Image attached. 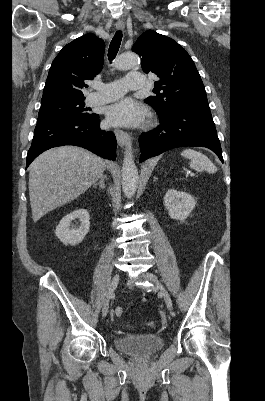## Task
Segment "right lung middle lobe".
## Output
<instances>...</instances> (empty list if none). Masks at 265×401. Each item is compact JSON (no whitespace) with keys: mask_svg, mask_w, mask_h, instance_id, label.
Wrapping results in <instances>:
<instances>
[{"mask_svg":"<svg viewBox=\"0 0 265 401\" xmlns=\"http://www.w3.org/2000/svg\"><path fill=\"white\" fill-rule=\"evenodd\" d=\"M84 99L85 98L65 99L41 104L37 121L51 117H91L92 114L87 113V109L84 108Z\"/></svg>","mask_w":265,"mask_h":401,"instance_id":"right-lung-middle-lobe-1","label":"right lung middle lobe"}]
</instances>
